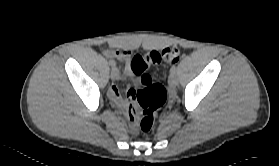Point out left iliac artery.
Here are the masks:
<instances>
[{
  "label": "left iliac artery",
  "instance_id": "obj_1",
  "mask_svg": "<svg viewBox=\"0 0 279 166\" xmlns=\"http://www.w3.org/2000/svg\"><path fill=\"white\" fill-rule=\"evenodd\" d=\"M176 70H177V67H176L175 65H173V66L171 67V69H170V72H171V73H175Z\"/></svg>",
  "mask_w": 279,
  "mask_h": 166
}]
</instances>
